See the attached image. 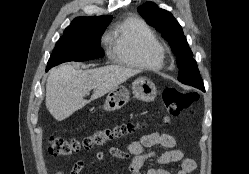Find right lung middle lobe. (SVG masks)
<instances>
[{"label": "right lung middle lobe", "instance_id": "1", "mask_svg": "<svg viewBox=\"0 0 249 174\" xmlns=\"http://www.w3.org/2000/svg\"><path fill=\"white\" fill-rule=\"evenodd\" d=\"M110 22H98L64 35L56 43L47 70L68 61L82 62L104 56L100 39Z\"/></svg>", "mask_w": 249, "mask_h": 174}]
</instances>
